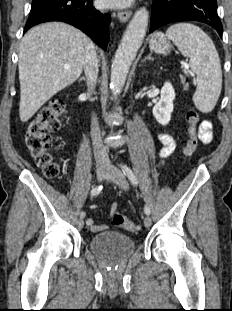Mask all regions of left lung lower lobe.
Returning <instances> with one entry per match:
<instances>
[{
    "mask_svg": "<svg viewBox=\"0 0 232 311\" xmlns=\"http://www.w3.org/2000/svg\"><path fill=\"white\" fill-rule=\"evenodd\" d=\"M181 21L206 23L222 37L216 0H154L150 33L166 24Z\"/></svg>",
    "mask_w": 232,
    "mask_h": 311,
    "instance_id": "left-lung-lower-lobe-1",
    "label": "left lung lower lobe"
}]
</instances>
